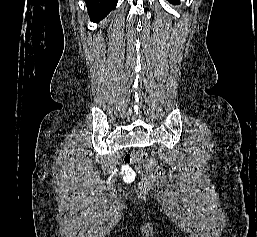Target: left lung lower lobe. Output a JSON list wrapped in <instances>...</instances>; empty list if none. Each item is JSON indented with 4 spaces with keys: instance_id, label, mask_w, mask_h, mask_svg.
I'll use <instances>...</instances> for the list:
<instances>
[{
    "instance_id": "0a47b994",
    "label": "left lung lower lobe",
    "mask_w": 257,
    "mask_h": 237,
    "mask_svg": "<svg viewBox=\"0 0 257 237\" xmlns=\"http://www.w3.org/2000/svg\"><path fill=\"white\" fill-rule=\"evenodd\" d=\"M172 4H179V0H168Z\"/></svg>"
}]
</instances>
